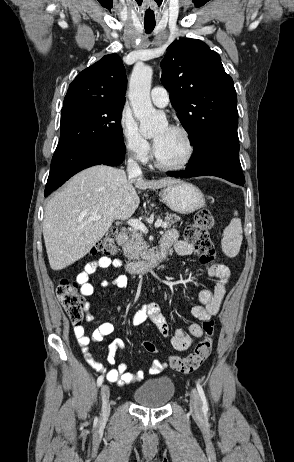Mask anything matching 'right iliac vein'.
I'll return each instance as SVG.
<instances>
[{
    "label": "right iliac vein",
    "mask_w": 294,
    "mask_h": 462,
    "mask_svg": "<svg viewBox=\"0 0 294 462\" xmlns=\"http://www.w3.org/2000/svg\"><path fill=\"white\" fill-rule=\"evenodd\" d=\"M109 396H110L109 387L107 385H103L101 388V398H102L101 416L103 419H106L110 412Z\"/></svg>",
    "instance_id": "obj_1"
}]
</instances>
